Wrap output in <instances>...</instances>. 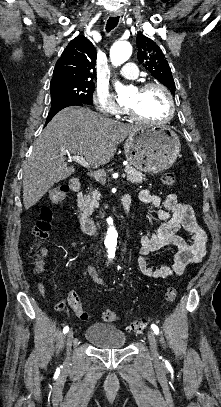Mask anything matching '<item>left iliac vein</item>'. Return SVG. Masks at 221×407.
<instances>
[{
	"label": "left iliac vein",
	"mask_w": 221,
	"mask_h": 407,
	"mask_svg": "<svg viewBox=\"0 0 221 407\" xmlns=\"http://www.w3.org/2000/svg\"><path fill=\"white\" fill-rule=\"evenodd\" d=\"M148 341L150 344V350L152 357L156 360L159 357L158 350H157V343L156 338L152 330H149L147 333Z\"/></svg>",
	"instance_id": "1"
}]
</instances>
